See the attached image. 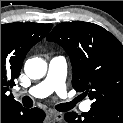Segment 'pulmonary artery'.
<instances>
[{"instance_id":"e3ab8cb5","label":"pulmonary artery","mask_w":123,"mask_h":123,"mask_svg":"<svg viewBox=\"0 0 123 123\" xmlns=\"http://www.w3.org/2000/svg\"><path fill=\"white\" fill-rule=\"evenodd\" d=\"M66 74H67L66 59L61 56L54 57L49 63L46 77L37 85L27 90L26 94L34 98H44L53 92H56L60 96H65ZM80 108L85 112L89 111L90 101L82 103Z\"/></svg>"}]
</instances>
